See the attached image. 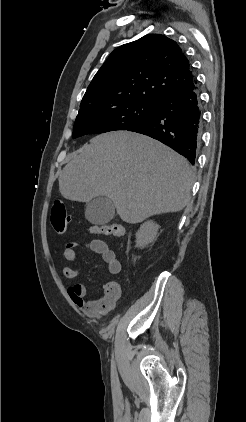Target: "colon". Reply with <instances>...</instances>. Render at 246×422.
<instances>
[{"mask_svg": "<svg viewBox=\"0 0 246 422\" xmlns=\"http://www.w3.org/2000/svg\"><path fill=\"white\" fill-rule=\"evenodd\" d=\"M69 223V217L65 204L61 200H55L51 207V224L58 233L66 231ZM90 232L98 235H110L121 237L124 234V228L120 224L110 223L104 225H94L90 227Z\"/></svg>", "mask_w": 246, "mask_h": 422, "instance_id": "colon-1", "label": "colon"}]
</instances>
